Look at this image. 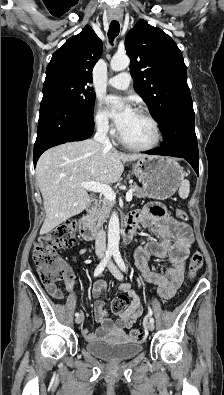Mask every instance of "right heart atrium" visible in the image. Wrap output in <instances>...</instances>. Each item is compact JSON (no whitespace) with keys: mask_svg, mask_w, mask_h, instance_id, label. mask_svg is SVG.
Returning a JSON list of instances; mask_svg holds the SVG:
<instances>
[{"mask_svg":"<svg viewBox=\"0 0 224 395\" xmlns=\"http://www.w3.org/2000/svg\"><path fill=\"white\" fill-rule=\"evenodd\" d=\"M93 122L96 129L102 134L110 135L113 133V126L108 118V115L99 104H97L95 107Z\"/></svg>","mask_w":224,"mask_h":395,"instance_id":"right-heart-atrium-1","label":"right heart atrium"}]
</instances>
